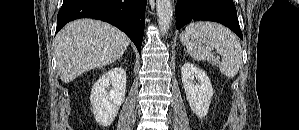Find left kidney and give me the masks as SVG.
Wrapping results in <instances>:
<instances>
[{"label": "left kidney", "mask_w": 299, "mask_h": 130, "mask_svg": "<svg viewBox=\"0 0 299 130\" xmlns=\"http://www.w3.org/2000/svg\"><path fill=\"white\" fill-rule=\"evenodd\" d=\"M181 78L190 108L198 117L208 113L213 89L207 74L192 63L186 62L181 68ZM194 78L198 83H194Z\"/></svg>", "instance_id": "obj_1"}]
</instances>
